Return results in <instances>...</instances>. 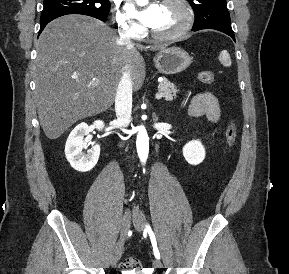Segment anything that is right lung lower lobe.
I'll list each match as a JSON object with an SVG mask.
<instances>
[{"instance_id":"obj_1","label":"right lung lower lobe","mask_w":289,"mask_h":274,"mask_svg":"<svg viewBox=\"0 0 289 274\" xmlns=\"http://www.w3.org/2000/svg\"><path fill=\"white\" fill-rule=\"evenodd\" d=\"M67 14H83V13H77V12H67V13H59V14H53V15H49V16H45V17H41V20H40V30H39V34L42 32V30L45 28V26L51 22L52 20L60 17V16H63V15H67ZM83 15H88V14H83ZM88 16H92V15H88ZM94 18H97L99 20H104L102 18H99L97 16H92Z\"/></svg>"}]
</instances>
